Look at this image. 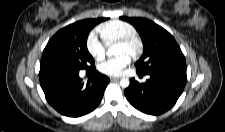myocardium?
Returning <instances> with one entry per match:
<instances>
[{
	"label": "myocardium",
	"instance_id": "1",
	"mask_svg": "<svg viewBox=\"0 0 225 132\" xmlns=\"http://www.w3.org/2000/svg\"><path fill=\"white\" fill-rule=\"evenodd\" d=\"M116 44L132 47L131 57L134 59L139 58L143 53V49H144L143 41L136 34L126 36L118 40Z\"/></svg>",
	"mask_w": 225,
	"mask_h": 132
}]
</instances>
